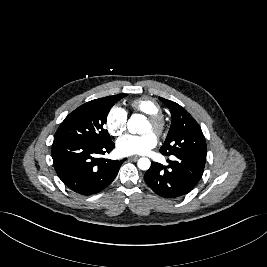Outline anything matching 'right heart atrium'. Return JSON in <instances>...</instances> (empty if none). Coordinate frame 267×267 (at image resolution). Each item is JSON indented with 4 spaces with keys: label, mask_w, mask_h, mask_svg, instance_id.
Returning <instances> with one entry per match:
<instances>
[{
    "label": "right heart atrium",
    "mask_w": 267,
    "mask_h": 267,
    "mask_svg": "<svg viewBox=\"0 0 267 267\" xmlns=\"http://www.w3.org/2000/svg\"><path fill=\"white\" fill-rule=\"evenodd\" d=\"M127 121V111L119 105H114L107 113L105 124L111 135L119 136L125 132Z\"/></svg>",
    "instance_id": "obj_1"
}]
</instances>
